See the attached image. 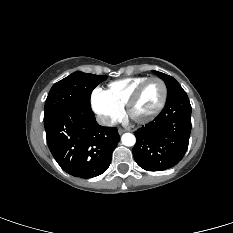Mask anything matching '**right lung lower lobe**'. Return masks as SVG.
<instances>
[{"mask_svg":"<svg viewBox=\"0 0 233 233\" xmlns=\"http://www.w3.org/2000/svg\"><path fill=\"white\" fill-rule=\"evenodd\" d=\"M48 147L67 173L92 178L104 173L120 136L117 128L100 126L90 106L65 108L44 118Z\"/></svg>","mask_w":233,"mask_h":233,"instance_id":"1","label":"right lung lower lobe"}]
</instances>
